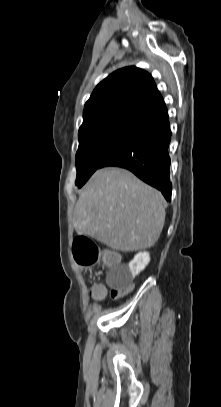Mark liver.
<instances>
[{"label":"liver","mask_w":221,"mask_h":407,"mask_svg":"<svg viewBox=\"0 0 221 407\" xmlns=\"http://www.w3.org/2000/svg\"><path fill=\"white\" fill-rule=\"evenodd\" d=\"M162 194L128 170H97L76 203V224L108 247L125 252L153 246L165 222Z\"/></svg>","instance_id":"6515ba94"}]
</instances>
